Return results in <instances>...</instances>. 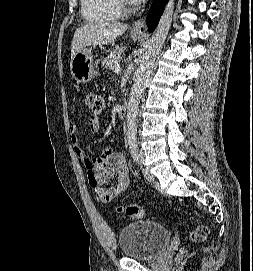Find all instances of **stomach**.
<instances>
[{
    "mask_svg": "<svg viewBox=\"0 0 253 271\" xmlns=\"http://www.w3.org/2000/svg\"><path fill=\"white\" fill-rule=\"evenodd\" d=\"M134 40L141 39V34L131 33ZM70 71L78 83H87L97 74L93 55L90 49L84 48L74 55L70 63Z\"/></svg>",
    "mask_w": 253,
    "mask_h": 271,
    "instance_id": "1",
    "label": "stomach"
}]
</instances>
